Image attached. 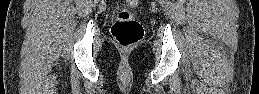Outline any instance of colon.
Returning a JSON list of instances; mask_svg holds the SVG:
<instances>
[{"label":"colon","mask_w":259,"mask_h":94,"mask_svg":"<svg viewBox=\"0 0 259 94\" xmlns=\"http://www.w3.org/2000/svg\"><path fill=\"white\" fill-rule=\"evenodd\" d=\"M127 4L130 8H135L138 5V0H127ZM111 33L121 47L129 48L142 39L144 31L131 11L122 9L111 27Z\"/></svg>","instance_id":"5ec220e1"}]
</instances>
